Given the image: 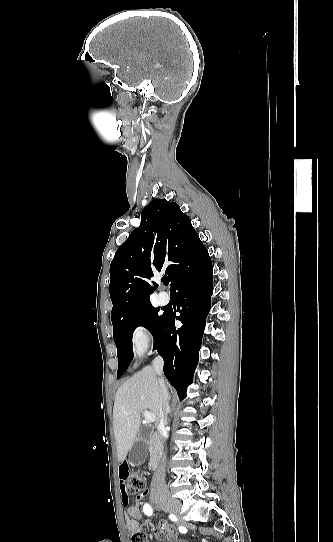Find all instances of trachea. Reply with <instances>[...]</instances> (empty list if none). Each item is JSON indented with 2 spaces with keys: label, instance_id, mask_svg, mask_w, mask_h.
I'll use <instances>...</instances> for the list:
<instances>
[{
  "label": "trachea",
  "instance_id": "1",
  "mask_svg": "<svg viewBox=\"0 0 333 542\" xmlns=\"http://www.w3.org/2000/svg\"><path fill=\"white\" fill-rule=\"evenodd\" d=\"M162 281H163L164 285H168V283H169L168 279H163Z\"/></svg>",
  "mask_w": 333,
  "mask_h": 542
}]
</instances>
